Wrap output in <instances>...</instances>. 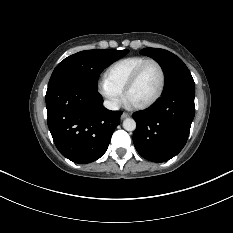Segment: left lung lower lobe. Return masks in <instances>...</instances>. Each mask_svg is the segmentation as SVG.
<instances>
[{
	"instance_id": "0a47b994",
	"label": "left lung lower lobe",
	"mask_w": 233,
	"mask_h": 233,
	"mask_svg": "<svg viewBox=\"0 0 233 233\" xmlns=\"http://www.w3.org/2000/svg\"><path fill=\"white\" fill-rule=\"evenodd\" d=\"M195 89L178 88L162 94L145 111H137L133 143L138 153L152 162H165L185 146L195 114Z\"/></svg>"
}]
</instances>
